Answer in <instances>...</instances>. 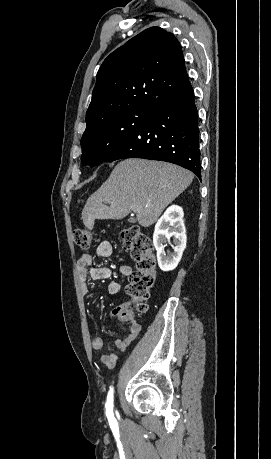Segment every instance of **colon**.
I'll return each mask as SVG.
<instances>
[{"mask_svg": "<svg viewBox=\"0 0 271 459\" xmlns=\"http://www.w3.org/2000/svg\"><path fill=\"white\" fill-rule=\"evenodd\" d=\"M74 244L81 250H87L93 240L94 233L88 228H78L72 234ZM119 239L125 250L129 251L136 262V270L129 276L126 292L130 296L137 312L148 309V299L156 281L157 257L154 245L139 227L130 226L119 233ZM124 315L131 316L127 308Z\"/></svg>", "mask_w": 271, "mask_h": 459, "instance_id": "5ec220e1", "label": "colon"}]
</instances>
